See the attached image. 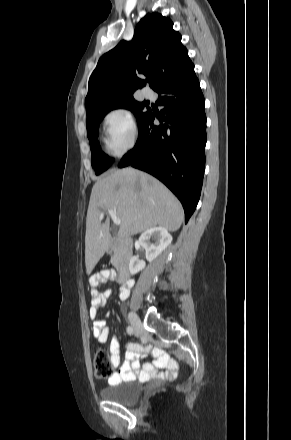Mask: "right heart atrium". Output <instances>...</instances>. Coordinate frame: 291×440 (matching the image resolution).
<instances>
[{"label":"right heart atrium","instance_id":"obj_1","mask_svg":"<svg viewBox=\"0 0 291 440\" xmlns=\"http://www.w3.org/2000/svg\"><path fill=\"white\" fill-rule=\"evenodd\" d=\"M103 125L104 142L110 153L121 156L135 145L137 130L129 109L118 107L109 111Z\"/></svg>","mask_w":291,"mask_h":440}]
</instances>
